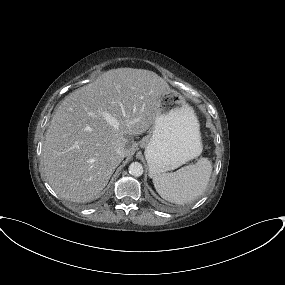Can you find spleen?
I'll return each mask as SVG.
<instances>
[{"label": "spleen", "instance_id": "obj_1", "mask_svg": "<svg viewBox=\"0 0 285 285\" xmlns=\"http://www.w3.org/2000/svg\"><path fill=\"white\" fill-rule=\"evenodd\" d=\"M211 172L210 160L200 158L197 163L184 166L175 172L154 175L153 183L163 199L181 205L191 202L205 192Z\"/></svg>", "mask_w": 285, "mask_h": 285}]
</instances>
